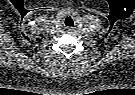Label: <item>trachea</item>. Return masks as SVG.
<instances>
[{
	"label": "trachea",
	"mask_w": 135,
	"mask_h": 95,
	"mask_svg": "<svg viewBox=\"0 0 135 95\" xmlns=\"http://www.w3.org/2000/svg\"><path fill=\"white\" fill-rule=\"evenodd\" d=\"M65 26L67 27H73L74 26V21L72 20L71 17H67L64 21Z\"/></svg>",
	"instance_id": "trachea-1"
}]
</instances>
